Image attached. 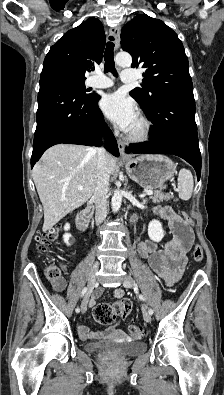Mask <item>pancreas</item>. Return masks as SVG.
Here are the masks:
<instances>
[{"mask_svg":"<svg viewBox=\"0 0 224 395\" xmlns=\"http://www.w3.org/2000/svg\"><path fill=\"white\" fill-rule=\"evenodd\" d=\"M171 197L170 194L155 192L154 195L150 196V199L154 202H162L163 200H169Z\"/></svg>","mask_w":224,"mask_h":395,"instance_id":"obj_1","label":"pancreas"}]
</instances>
